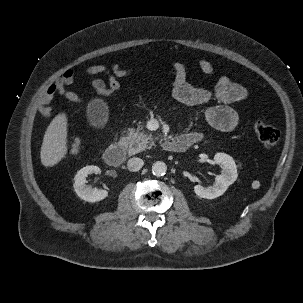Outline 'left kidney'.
Wrapping results in <instances>:
<instances>
[{"label":"left kidney","instance_id":"1","mask_svg":"<svg viewBox=\"0 0 303 303\" xmlns=\"http://www.w3.org/2000/svg\"><path fill=\"white\" fill-rule=\"evenodd\" d=\"M214 161L220 164L222 168L221 174L215 177V183L212 186H194V192L201 198L214 199L221 196L237 179L236 164L231 156L225 153H216Z\"/></svg>","mask_w":303,"mask_h":303}]
</instances>
